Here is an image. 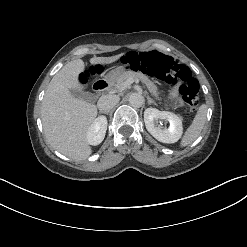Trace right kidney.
<instances>
[{
  "instance_id": "ca27d5eb",
  "label": "right kidney",
  "mask_w": 247,
  "mask_h": 247,
  "mask_svg": "<svg viewBox=\"0 0 247 247\" xmlns=\"http://www.w3.org/2000/svg\"><path fill=\"white\" fill-rule=\"evenodd\" d=\"M107 130V119L104 116L96 118L90 125L87 132V142L90 145L100 144L105 137Z\"/></svg>"
}]
</instances>
